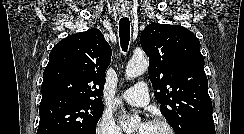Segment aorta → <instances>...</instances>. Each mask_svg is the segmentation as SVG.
I'll return each instance as SVG.
<instances>
[{"instance_id": "1", "label": "aorta", "mask_w": 244, "mask_h": 134, "mask_svg": "<svg viewBox=\"0 0 244 134\" xmlns=\"http://www.w3.org/2000/svg\"><path fill=\"white\" fill-rule=\"evenodd\" d=\"M148 64V60L144 56L133 57L126 66L125 76L128 79L140 76L148 69ZM117 102L121 105V101L117 100ZM123 112L125 111L123 110ZM138 120L137 115L129 117L124 114L120 120V126L124 129L132 128Z\"/></svg>"}]
</instances>
